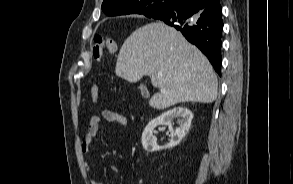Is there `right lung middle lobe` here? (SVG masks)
Returning <instances> with one entry per match:
<instances>
[{"label":"right lung middle lobe","instance_id":"dd1d6c3e","mask_svg":"<svg viewBox=\"0 0 293 184\" xmlns=\"http://www.w3.org/2000/svg\"><path fill=\"white\" fill-rule=\"evenodd\" d=\"M166 6L165 1H159L154 4L149 8V15L155 16L157 15L164 7Z\"/></svg>","mask_w":293,"mask_h":184}]
</instances>
